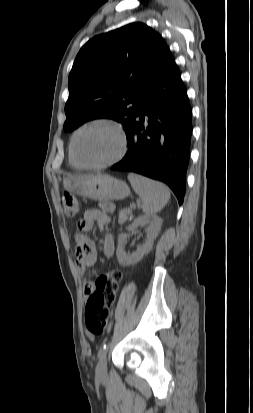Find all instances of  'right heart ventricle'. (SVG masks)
<instances>
[{"label":"right heart ventricle","instance_id":"1","mask_svg":"<svg viewBox=\"0 0 253 413\" xmlns=\"http://www.w3.org/2000/svg\"><path fill=\"white\" fill-rule=\"evenodd\" d=\"M69 162H70V164L73 166V167H78L76 164H75V162L72 160V158H71V155L69 154Z\"/></svg>","mask_w":253,"mask_h":413}]
</instances>
